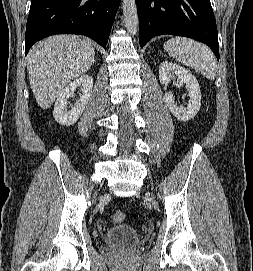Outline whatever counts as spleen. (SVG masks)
<instances>
[{
  "mask_svg": "<svg viewBox=\"0 0 253 271\" xmlns=\"http://www.w3.org/2000/svg\"><path fill=\"white\" fill-rule=\"evenodd\" d=\"M165 51L209 80L216 76V59L205 45L186 37H174L164 44Z\"/></svg>",
  "mask_w": 253,
  "mask_h": 271,
  "instance_id": "obj_1",
  "label": "spleen"
}]
</instances>
